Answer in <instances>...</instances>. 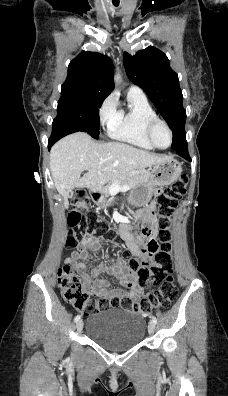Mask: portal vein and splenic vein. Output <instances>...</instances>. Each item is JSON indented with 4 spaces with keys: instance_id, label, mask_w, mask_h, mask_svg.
Here are the masks:
<instances>
[{
    "instance_id": "18ae733b",
    "label": "portal vein and splenic vein",
    "mask_w": 228,
    "mask_h": 396,
    "mask_svg": "<svg viewBox=\"0 0 228 396\" xmlns=\"http://www.w3.org/2000/svg\"><path fill=\"white\" fill-rule=\"evenodd\" d=\"M130 189V186H128V185H125V186H123V187H119V185H114L113 187H112V193H117V192H119V191H127V190H129Z\"/></svg>"
}]
</instances>
